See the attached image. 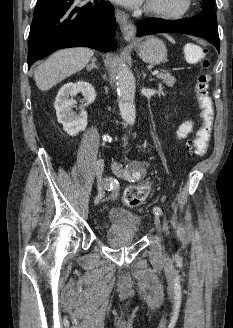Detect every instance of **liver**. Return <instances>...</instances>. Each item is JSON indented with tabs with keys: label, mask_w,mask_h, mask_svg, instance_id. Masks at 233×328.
<instances>
[{
	"label": "liver",
	"mask_w": 233,
	"mask_h": 328,
	"mask_svg": "<svg viewBox=\"0 0 233 328\" xmlns=\"http://www.w3.org/2000/svg\"><path fill=\"white\" fill-rule=\"evenodd\" d=\"M94 51L89 48H69L53 53L45 62L40 64L34 79L41 91H46L83 69L90 61Z\"/></svg>",
	"instance_id": "6515ba94"
}]
</instances>
